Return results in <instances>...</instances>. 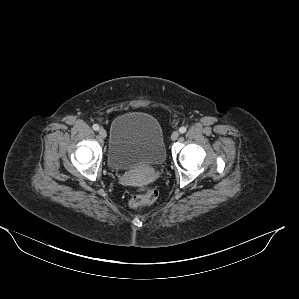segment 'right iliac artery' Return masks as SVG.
<instances>
[{
	"instance_id": "right-iliac-artery-1",
	"label": "right iliac artery",
	"mask_w": 299,
	"mask_h": 299,
	"mask_svg": "<svg viewBox=\"0 0 299 299\" xmlns=\"http://www.w3.org/2000/svg\"><path fill=\"white\" fill-rule=\"evenodd\" d=\"M92 128H93L95 131H98V130H99V125L94 124Z\"/></svg>"
}]
</instances>
